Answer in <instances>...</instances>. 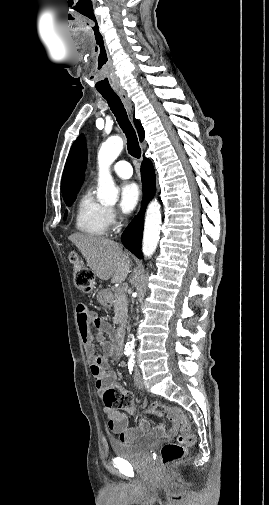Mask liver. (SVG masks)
Wrapping results in <instances>:
<instances>
[{"label": "liver", "instance_id": "obj_1", "mask_svg": "<svg viewBox=\"0 0 269 505\" xmlns=\"http://www.w3.org/2000/svg\"><path fill=\"white\" fill-rule=\"evenodd\" d=\"M84 256L87 266L101 280L123 282L130 273L129 254L123 252L119 243L86 234L75 233L68 237Z\"/></svg>", "mask_w": 269, "mask_h": 505}]
</instances>
